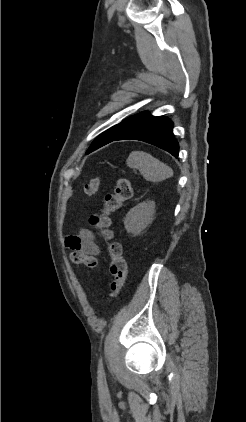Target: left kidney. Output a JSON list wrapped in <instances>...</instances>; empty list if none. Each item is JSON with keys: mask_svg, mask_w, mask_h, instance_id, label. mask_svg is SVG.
I'll list each match as a JSON object with an SVG mask.
<instances>
[{"mask_svg": "<svg viewBox=\"0 0 246 422\" xmlns=\"http://www.w3.org/2000/svg\"><path fill=\"white\" fill-rule=\"evenodd\" d=\"M155 214V202L144 201L130 209L124 218V226L128 233L138 236L152 222Z\"/></svg>", "mask_w": 246, "mask_h": 422, "instance_id": "left-kidney-1", "label": "left kidney"}]
</instances>
